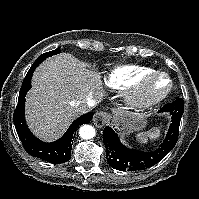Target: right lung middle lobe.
Instances as JSON below:
<instances>
[{
  "instance_id": "dd1d6c3e",
  "label": "right lung middle lobe",
  "mask_w": 199,
  "mask_h": 199,
  "mask_svg": "<svg viewBox=\"0 0 199 199\" xmlns=\"http://www.w3.org/2000/svg\"><path fill=\"white\" fill-rule=\"evenodd\" d=\"M59 53H60V48H57L53 51L46 52V53L40 55L37 60H45L46 58L51 57V56L56 55V54H59Z\"/></svg>"
}]
</instances>
